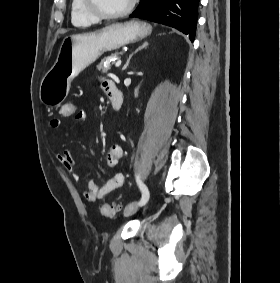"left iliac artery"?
Returning a JSON list of instances; mask_svg holds the SVG:
<instances>
[{"label": "left iliac artery", "mask_w": 280, "mask_h": 283, "mask_svg": "<svg viewBox=\"0 0 280 283\" xmlns=\"http://www.w3.org/2000/svg\"><path fill=\"white\" fill-rule=\"evenodd\" d=\"M136 182L142 193V197L138 204L139 206H144L149 200L150 193H149L147 186L141 181L139 175H136Z\"/></svg>", "instance_id": "44dca946"}]
</instances>
